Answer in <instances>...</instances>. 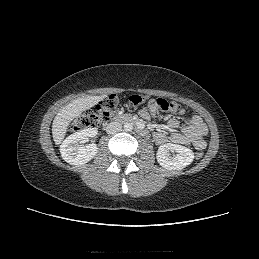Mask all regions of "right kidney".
Returning <instances> with one entry per match:
<instances>
[{
  "label": "right kidney",
  "instance_id": "ca27d5eb",
  "mask_svg": "<svg viewBox=\"0 0 259 259\" xmlns=\"http://www.w3.org/2000/svg\"><path fill=\"white\" fill-rule=\"evenodd\" d=\"M96 128H88L78 131L68 136L60 146L62 158L71 165H83L89 162L97 154L98 147L96 144L80 145L88 137L97 135Z\"/></svg>",
  "mask_w": 259,
  "mask_h": 259
}]
</instances>
